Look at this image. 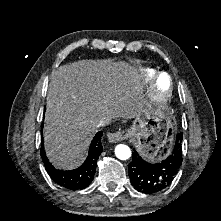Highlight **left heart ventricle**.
I'll return each instance as SVG.
<instances>
[{
    "instance_id": "obj_1",
    "label": "left heart ventricle",
    "mask_w": 221,
    "mask_h": 221,
    "mask_svg": "<svg viewBox=\"0 0 221 221\" xmlns=\"http://www.w3.org/2000/svg\"><path fill=\"white\" fill-rule=\"evenodd\" d=\"M158 86L162 89V90H166L167 87H168V78L167 76L165 75H161L159 78H158Z\"/></svg>"
}]
</instances>
